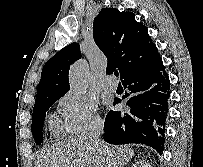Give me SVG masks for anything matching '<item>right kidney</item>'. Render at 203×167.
<instances>
[{"label": "right kidney", "mask_w": 203, "mask_h": 167, "mask_svg": "<svg viewBox=\"0 0 203 167\" xmlns=\"http://www.w3.org/2000/svg\"><path fill=\"white\" fill-rule=\"evenodd\" d=\"M132 167H152V166L148 162L139 161V162H136L135 164H133Z\"/></svg>", "instance_id": "1"}]
</instances>
